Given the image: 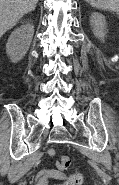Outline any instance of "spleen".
I'll list each match as a JSON object with an SVG mask.
<instances>
[{"label": "spleen", "instance_id": "spleen-1", "mask_svg": "<svg viewBox=\"0 0 119 185\" xmlns=\"http://www.w3.org/2000/svg\"><path fill=\"white\" fill-rule=\"evenodd\" d=\"M92 7L119 13V0H85Z\"/></svg>", "mask_w": 119, "mask_h": 185}]
</instances>
